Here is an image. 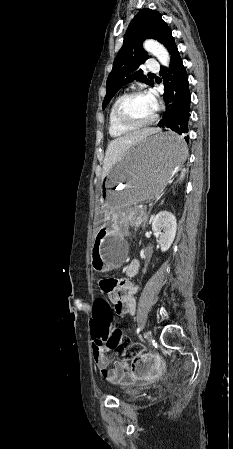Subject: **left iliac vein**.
Returning <instances> with one entry per match:
<instances>
[{"instance_id":"1","label":"left iliac vein","mask_w":233,"mask_h":449,"mask_svg":"<svg viewBox=\"0 0 233 449\" xmlns=\"http://www.w3.org/2000/svg\"><path fill=\"white\" fill-rule=\"evenodd\" d=\"M151 336H152V331H151V330H147V331L144 333V338H145V340H149V339L151 338Z\"/></svg>"}]
</instances>
